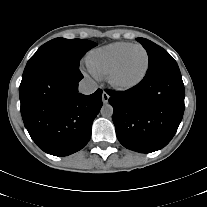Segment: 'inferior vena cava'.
I'll return each instance as SVG.
<instances>
[{"instance_id":"602c4592","label":"inferior vena cava","mask_w":207,"mask_h":207,"mask_svg":"<svg viewBox=\"0 0 207 207\" xmlns=\"http://www.w3.org/2000/svg\"><path fill=\"white\" fill-rule=\"evenodd\" d=\"M98 89V84L91 78L82 79L79 82L78 90L80 93L90 95Z\"/></svg>"}]
</instances>
